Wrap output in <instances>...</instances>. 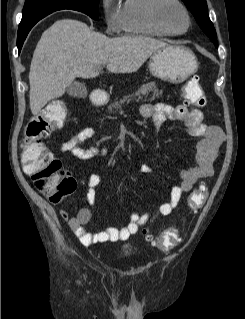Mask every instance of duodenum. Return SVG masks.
Wrapping results in <instances>:
<instances>
[{
	"label": "duodenum",
	"mask_w": 245,
	"mask_h": 319,
	"mask_svg": "<svg viewBox=\"0 0 245 319\" xmlns=\"http://www.w3.org/2000/svg\"><path fill=\"white\" fill-rule=\"evenodd\" d=\"M90 101L95 106H101L104 103V96L102 92L95 90L91 93Z\"/></svg>",
	"instance_id": "duodenum-1"
}]
</instances>
